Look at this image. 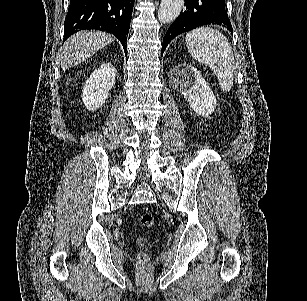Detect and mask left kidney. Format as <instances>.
I'll use <instances>...</instances> for the list:
<instances>
[{"label":"left kidney","instance_id":"obj_1","mask_svg":"<svg viewBox=\"0 0 307 301\" xmlns=\"http://www.w3.org/2000/svg\"><path fill=\"white\" fill-rule=\"evenodd\" d=\"M172 74L177 76L174 80V88L182 92L197 114L209 116L214 112L217 104L214 92L195 66L186 62L176 64L172 68Z\"/></svg>","mask_w":307,"mask_h":301}]
</instances>
